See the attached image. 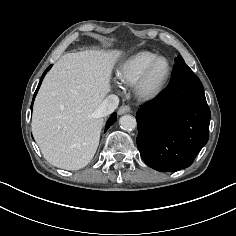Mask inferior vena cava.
<instances>
[{"instance_id": "602c4592", "label": "inferior vena cava", "mask_w": 236, "mask_h": 236, "mask_svg": "<svg viewBox=\"0 0 236 236\" xmlns=\"http://www.w3.org/2000/svg\"><path fill=\"white\" fill-rule=\"evenodd\" d=\"M119 104V98L114 95H108L103 102L101 103V105L98 108V114L101 117H105L111 113L114 112V110L118 107Z\"/></svg>"}]
</instances>
